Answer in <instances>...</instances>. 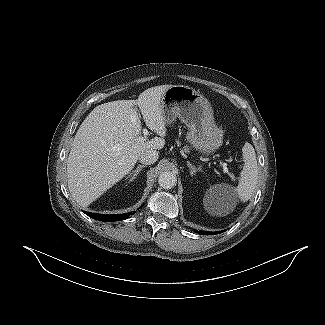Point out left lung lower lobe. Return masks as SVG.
I'll return each mask as SVG.
<instances>
[{
    "label": "left lung lower lobe",
    "instance_id": "1",
    "mask_svg": "<svg viewBox=\"0 0 325 325\" xmlns=\"http://www.w3.org/2000/svg\"><path fill=\"white\" fill-rule=\"evenodd\" d=\"M196 232H199V234H206V235H214V234L220 233V231L219 232H204V231H197V230H196Z\"/></svg>",
    "mask_w": 325,
    "mask_h": 325
}]
</instances>
